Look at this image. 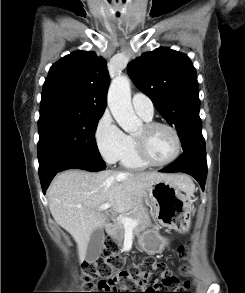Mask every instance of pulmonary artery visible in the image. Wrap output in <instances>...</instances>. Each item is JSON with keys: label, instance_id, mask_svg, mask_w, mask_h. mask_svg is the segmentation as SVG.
Masks as SVG:
<instances>
[{"label": "pulmonary artery", "instance_id": "pulmonary-artery-1", "mask_svg": "<svg viewBox=\"0 0 245 293\" xmlns=\"http://www.w3.org/2000/svg\"><path fill=\"white\" fill-rule=\"evenodd\" d=\"M135 112L146 120H151L154 115L152 100L143 93H135L132 98Z\"/></svg>", "mask_w": 245, "mask_h": 293}]
</instances>
